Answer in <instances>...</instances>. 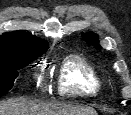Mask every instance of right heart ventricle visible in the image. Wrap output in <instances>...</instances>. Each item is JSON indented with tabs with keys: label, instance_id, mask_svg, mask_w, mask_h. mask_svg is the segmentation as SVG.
I'll return each instance as SVG.
<instances>
[{
	"label": "right heart ventricle",
	"instance_id": "right-heart-ventricle-1",
	"mask_svg": "<svg viewBox=\"0 0 131 115\" xmlns=\"http://www.w3.org/2000/svg\"><path fill=\"white\" fill-rule=\"evenodd\" d=\"M56 86L62 97L94 98L104 91L105 82L89 61L71 54L59 66Z\"/></svg>",
	"mask_w": 131,
	"mask_h": 115
}]
</instances>
